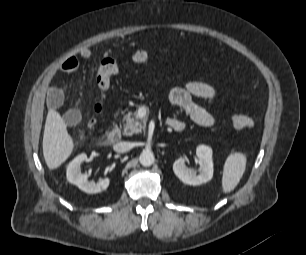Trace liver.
Instances as JSON below:
<instances>
[{
  "label": "liver",
  "mask_w": 306,
  "mask_h": 255,
  "mask_svg": "<svg viewBox=\"0 0 306 255\" xmlns=\"http://www.w3.org/2000/svg\"><path fill=\"white\" fill-rule=\"evenodd\" d=\"M74 142L67 125L55 109H49L43 135V155L50 170L58 168L72 154Z\"/></svg>",
  "instance_id": "obj_1"
}]
</instances>
